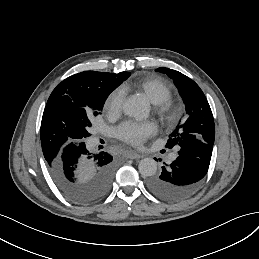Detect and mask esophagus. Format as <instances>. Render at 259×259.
<instances>
[{
	"label": "esophagus",
	"instance_id": "1",
	"mask_svg": "<svg viewBox=\"0 0 259 259\" xmlns=\"http://www.w3.org/2000/svg\"><path fill=\"white\" fill-rule=\"evenodd\" d=\"M126 157L128 159H138L141 158V155L133 150L127 152Z\"/></svg>",
	"mask_w": 259,
	"mask_h": 259
}]
</instances>
